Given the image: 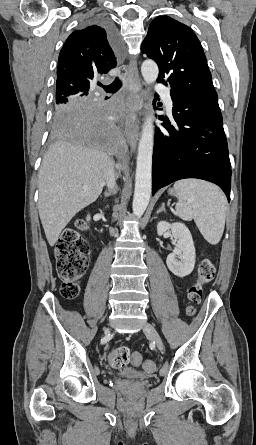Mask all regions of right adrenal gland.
<instances>
[{
  "instance_id": "2a0ac1e0",
  "label": "right adrenal gland",
  "mask_w": 256,
  "mask_h": 445,
  "mask_svg": "<svg viewBox=\"0 0 256 445\" xmlns=\"http://www.w3.org/2000/svg\"><path fill=\"white\" fill-rule=\"evenodd\" d=\"M116 192H117V187L114 188L113 192H107V191H105V192H104V196H105V197H109L111 194H115Z\"/></svg>"
}]
</instances>
